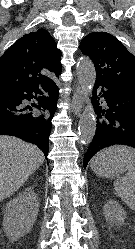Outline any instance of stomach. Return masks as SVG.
Returning <instances> with one entry per match:
<instances>
[{
    "label": "stomach",
    "mask_w": 135,
    "mask_h": 249,
    "mask_svg": "<svg viewBox=\"0 0 135 249\" xmlns=\"http://www.w3.org/2000/svg\"><path fill=\"white\" fill-rule=\"evenodd\" d=\"M93 171L101 177H112L126 170V163L120 160L105 158L92 162Z\"/></svg>",
    "instance_id": "0dacf381"
}]
</instances>
